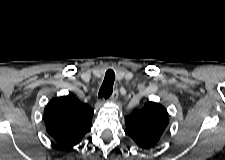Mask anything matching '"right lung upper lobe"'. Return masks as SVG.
I'll return each instance as SVG.
<instances>
[{
  "instance_id": "obj_1",
  "label": "right lung upper lobe",
  "mask_w": 225,
  "mask_h": 160,
  "mask_svg": "<svg viewBox=\"0 0 225 160\" xmlns=\"http://www.w3.org/2000/svg\"><path fill=\"white\" fill-rule=\"evenodd\" d=\"M93 113L72 95L54 98L44 110L47 133L62 148L72 149L90 131Z\"/></svg>"
}]
</instances>
